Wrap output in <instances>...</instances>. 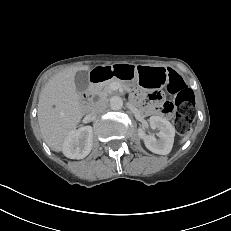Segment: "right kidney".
Instances as JSON below:
<instances>
[{
  "label": "right kidney",
  "mask_w": 231,
  "mask_h": 231,
  "mask_svg": "<svg viewBox=\"0 0 231 231\" xmlns=\"http://www.w3.org/2000/svg\"><path fill=\"white\" fill-rule=\"evenodd\" d=\"M93 130L91 126H84L73 130L66 137L63 144V154L70 159H83L92 149Z\"/></svg>",
  "instance_id": "1"
}]
</instances>
